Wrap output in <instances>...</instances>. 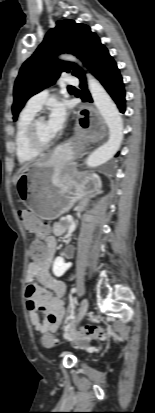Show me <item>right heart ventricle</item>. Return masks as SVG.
<instances>
[{
	"mask_svg": "<svg viewBox=\"0 0 155 413\" xmlns=\"http://www.w3.org/2000/svg\"><path fill=\"white\" fill-rule=\"evenodd\" d=\"M37 111L25 107L21 112L15 131V153L21 164L35 160L39 153L31 149L26 140V131L30 122L35 118Z\"/></svg>",
	"mask_w": 155,
	"mask_h": 413,
	"instance_id": "obj_1",
	"label": "right heart ventricle"
}]
</instances>
